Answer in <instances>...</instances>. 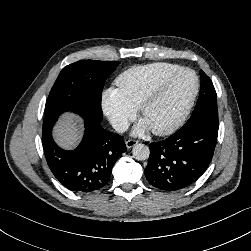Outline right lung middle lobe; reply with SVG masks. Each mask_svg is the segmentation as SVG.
<instances>
[{
	"mask_svg": "<svg viewBox=\"0 0 251 251\" xmlns=\"http://www.w3.org/2000/svg\"><path fill=\"white\" fill-rule=\"evenodd\" d=\"M117 61L82 60L63 68L45 105V116L64 111H82L102 120L101 94Z\"/></svg>",
	"mask_w": 251,
	"mask_h": 251,
	"instance_id": "obj_1",
	"label": "right lung middle lobe"
}]
</instances>
